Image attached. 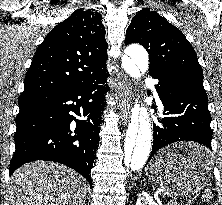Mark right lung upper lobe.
<instances>
[{
    "label": "right lung upper lobe",
    "mask_w": 222,
    "mask_h": 205,
    "mask_svg": "<svg viewBox=\"0 0 222 205\" xmlns=\"http://www.w3.org/2000/svg\"><path fill=\"white\" fill-rule=\"evenodd\" d=\"M102 16L77 9L56 25L38 47L25 77L21 96L67 90L107 72Z\"/></svg>",
    "instance_id": "1"
}]
</instances>
